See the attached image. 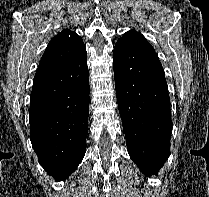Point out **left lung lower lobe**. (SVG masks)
Returning a JSON list of instances; mask_svg holds the SVG:
<instances>
[{"mask_svg":"<svg viewBox=\"0 0 209 197\" xmlns=\"http://www.w3.org/2000/svg\"><path fill=\"white\" fill-rule=\"evenodd\" d=\"M113 67L128 153L142 173H157L170 155L172 129L163 67L154 50L118 42Z\"/></svg>","mask_w":209,"mask_h":197,"instance_id":"obj_1","label":"left lung lower lobe"}]
</instances>
